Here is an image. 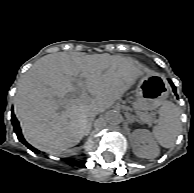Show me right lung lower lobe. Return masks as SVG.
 <instances>
[{
  "instance_id": "98d812e1",
  "label": "right lung lower lobe",
  "mask_w": 194,
  "mask_h": 193,
  "mask_svg": "<svg viewBox=\"0 0 194 193\" xmlns=\"http://www.w3.org/2000/svg\"><path fill=\"white\" fill-rule=\"evenodd\" d=\"M12 123H13V127H14V131L15 133L17 134L18 136V139L24 144L26 145L30 150H32L34 153H39V151L37 149H35L34 147H32L31 145H29L25 139L23 138L22 136V133H21V129H20V126H19V122L18 120L16 119L15 115H14V112L12 110Z\"/></svg>"
}]
</instances>
